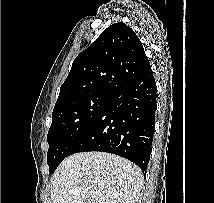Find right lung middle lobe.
<instances>
[{"label": "right lung middle lobe", "instance_id": "1", "mask_svg": "<svg viewBox=\"0 0 214 203\" xmlns=\"http://www.w3.org/2000/svg\"><path fill=\"white\" fill-rule=\"evenodd\" d=\"M108 98L107 93H93L54 108L47 135L50 174L69 156L73 145L94 122Z\"/></svg>", "mask_w": 214, "mask_h": 203}]
</instances>
